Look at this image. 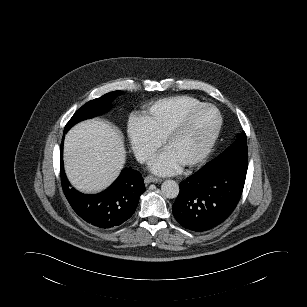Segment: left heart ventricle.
Returning a JSON list of instances; mask_svg holds the SVG:
<instances>
[{
  "mask_svg": "<svg viewBox=\"0 0 307 307\" xmlns=\"http://www.w3.org/2000/svg\"><path fill=\"white\" fill-rule=\"evenodd\" d=\"M217 123L215 112L208 108L196 111L182 133L166 147L181 164L193 158L205 145Z\"/></svg>",
  "mask_w": 307,
  "mask_h": 307,
  "instance_id": "left-heart-ventricle-1",
  "label": "left heart ventricle"
}]
</instances>
